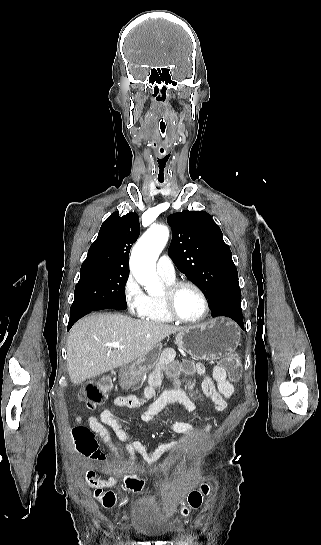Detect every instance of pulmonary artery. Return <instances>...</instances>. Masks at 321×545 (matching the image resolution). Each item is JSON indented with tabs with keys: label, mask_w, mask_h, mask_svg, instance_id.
<instances>
[{
	"label": "pulmonary artery",
	"mask_w": 321,
	"mask_h": 545,
	"mask_svg": "<svg viewBox=\"0 0 321 545\" xmlns=\"http://www.w3.org/2000/svg\"><path fill=\"white\" fill-rule=\"evenodd\" d=\"M158 274L165 279L174 280L176 271L174 264L168 254H162L157 261Z\"/></svg>",
	"instance_id": "pulmonary-artery-1"
}]
</instances>
